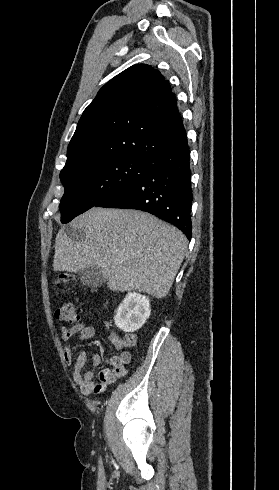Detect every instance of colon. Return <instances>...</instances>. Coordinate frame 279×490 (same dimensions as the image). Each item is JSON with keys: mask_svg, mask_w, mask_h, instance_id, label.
I'll return each mask as SVG.
<instances>
[{"mask_svg": "<svg viewBox=\"0 0 279 490\" xmlns=\"http://www.w3.org/2000/svg\"><path fill=\"white\" fill-rule=\"evenodd\" d=\"M72 280L71 276L67 273H62L57 279L56 284L61 285L68 283ZM55 317L57 320L63 321L70 325H73L77 321V311L73 304L71 303H61L55 308ZM114 341H121L123 347H132L135 343V337L133 335H128L122 340L114 339Z\"/></svg>", "mask_w": 279, "mask_h": 490, "instance_id": "1", "label": "colon"}]
</instances>
